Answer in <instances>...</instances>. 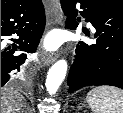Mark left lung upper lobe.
<instances>
[{"mask_svg": "<svg viewBox=\"0 0 123 113\" xmlns=\"http://www.w3.org/2000/svg\"><path fill=\"white\" fill-rule=\"evenodd\" d=\"M111 5L123 10V0H105Z\"/></svg>", "mask_w": 123, "mask_h": 113, "instance_id": "5c2ea615", "label": "left lung upper lobe"}]
</instances>
